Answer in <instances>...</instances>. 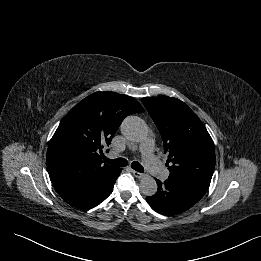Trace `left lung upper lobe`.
<instances>
[{"mask_svg":"<svg viewBox=\"0 0 261 261\" xmlns=\"http://www.w3.org/2000/svg\"><path fill=\"white\" fill-rule=\"evenodd\" d=\"M156 124L168 155V179L208 189L215 167V147L201 120L173 97L141 99Z\"/></svg>","mask_w":261,"mask_h":261,"instance_id":"5c2ea615","label":"left lung upper lobe"}]
</instances>
